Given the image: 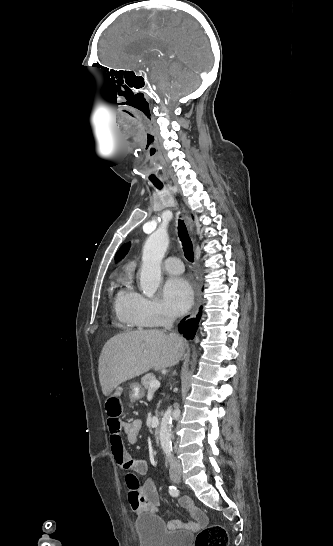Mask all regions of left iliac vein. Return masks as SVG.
Returning a JSON list of instances; mask_svg holds the SVG:
<instances>
[{"instance_id":"left-iliac-vein-1","label":"left iliac vein","mask_w":333,"mask_h":546,"mask_svg":"<svg viewBox=\"0 0 333 546\" xmlns=\"http://www.w3.org/2000/svg\"><path fill=\"white\" fill-rule=\"evenodd\" d=\"M175 482H176V483H179V482H180V479H179V480H177V481H175Z\"/></svg>"}]
</instances>
